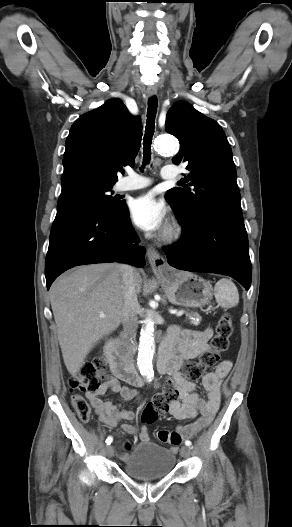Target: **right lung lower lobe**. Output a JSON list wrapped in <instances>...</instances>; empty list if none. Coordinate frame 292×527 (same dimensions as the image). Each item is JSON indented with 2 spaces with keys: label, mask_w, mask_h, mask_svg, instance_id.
Segmentation results:
<instances>
[{
  "label": "right lung lower lobe",
  "mask_w": 292,
  "mask_h": 527,
  "mask_svg": "<svg viewBox=\"0 0 292 527\" xmlns=\"http://www.w3.org/2000/svg\"><path fill=\"white\" fill-rule=\"evenodd\" d=\"M137 243L125 204L114 214L85 202L58 204L45 262L47 289L78 265L118 261L143 267L146 251Z\"/></svg>",
  "instance_id": "obj_1"
}]
</instances>
